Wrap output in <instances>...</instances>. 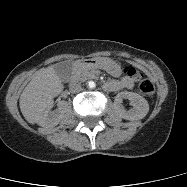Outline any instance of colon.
Returning a JSON list of instances; mask_svg holds the SVG:
<instances>
[{
    "mask_svg": "<svg viewBox=\"0 0 187 187\" xmlns=\"http://www.w3.org/2000/svg\"><path fill=\"white\" fill-rule=\"evenodd\" d=\"M125 73L128 77L134 79L139 90L145 95H153L155 93L154 83L143 73L133 67H127Z\"/></svg>",
    "mask_w": 187,
    "mask_h": 187,
    "instance_id": "obj_1",
    "label": "colon"
}]
</instances>
